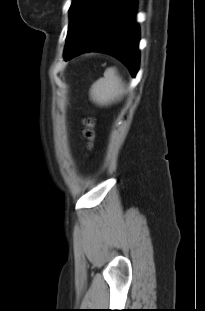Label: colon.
<instances>
[{"instance_id": "1", "label": "colon", "mask_w": 205, "mask_h": 311, "mask_svg": "<svg viewBox=\"0 0 205 311\" xmlns=\"http://www.w3.org/2000/svg\"><path fill=\"white\" fill-rule=\"evenodd\" d=\"M84 125H85V128L83 131V135H84V138L86 140L88 149H92L94 146V140L96 137V132L94 129V126H95L94 118H92V117L86 118Z\"/></svg>"}]
</instances>
